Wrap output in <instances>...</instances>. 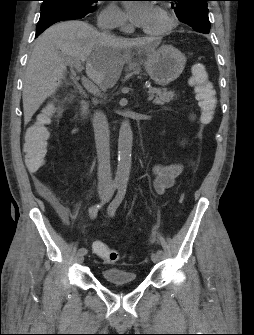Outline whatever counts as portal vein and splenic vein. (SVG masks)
I'll return each mask as SVG.
<instances>
[{
    "label": "portal vein and splenic vein",
    "instance_id": "portal-vein-and-splenic-vein-1",
    "mask_svg": "<svg viewBox=\"0 0 254 335\" xmlns=\"http://www.w3.org/2000/svg\"><path fill=\"white\" fill-rule=\"evenodd\" d=\"M67 63H69L71 66L75 67V69L78 72H81L82 69H83V66L81 64V60L79 58L68 59ZM81 81H82V85L84 86V88L87 91H89L90 93H92L94 95L100 96V90L98 89V87L93 82H91L86 77H82ZM153 99H154V94H151V95H149L147 100L152 101Z\"/></svg>",
    "mask_w": 254,
    "mask_h": 335
}]
</instances>
